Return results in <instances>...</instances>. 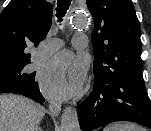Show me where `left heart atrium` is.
I'll return each mask as SVG.
<instances>
[{
  "label": "left heart atrium",
  "mask_w": 151,
  "mask_h": 131,
  "mask_svg": "<svg viewBox=\"0 0 151 131\" xmlns=\"http://www.w3.org/2000/svg\"><path fill=\"white\" fill-rule=\"evenodd\" d=\"M86 72L83 60L64 52L45 65L40 74V84L50 98H70L82 88Z\"/></svg>",
  "instance_id": "left-heart-atrium-1"
}]
</instances>
